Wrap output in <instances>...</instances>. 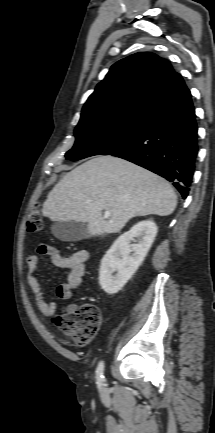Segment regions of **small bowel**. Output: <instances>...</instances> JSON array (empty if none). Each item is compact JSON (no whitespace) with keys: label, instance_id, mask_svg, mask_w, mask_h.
<instances>
[{"label":"small bowel","instance_id":"1","mask_svg":"<svg viewBox=\"0 0 215 433\" xmlns=\"http://www.w3.org/2000/svg\"><path fill=\"white\" fill-rule=\"evenodd\" d=\"M37 251L39 254L47 256L55 267L69 270L66 282L56 287L55 294L62 300L71 299L74 292L81 286L82 279L86 272L87 262L90 258V252L86 249H81L64 256L57 248L49 244H40ZM26 264L28 267L27 281L35 304L41 313L46 316H51L56 312L57 306L53 301H49L45 298L36 276V270L39 264L38 255H27ZM74 309V305L68 307L69 311Z\"/></svg>","mask_w":215,"mask_h":433}]
</instances>
